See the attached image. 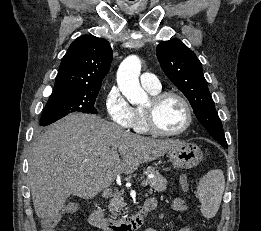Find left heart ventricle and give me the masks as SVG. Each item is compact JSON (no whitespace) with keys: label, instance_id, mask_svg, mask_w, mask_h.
I'll list each match as a JSON object with an SVG mask.
<instances>
[{"label":"left heart ventricle","instance_id":"obj_1","mask_svg":"<svg viewBox=\"0 0 261 231\" xmlns=\"http://www.w3.org/2000/svg\"><path fill=\"white\" fill-rule=\"evenodd\" d=\"M149 104V100L144 107ZM158 126L164 131H176L183 127L186 113L182 103L177 98H168L161 103L156 112Z\"/></svg>","mask_w":261,"mask_h":231}]
</instances>
